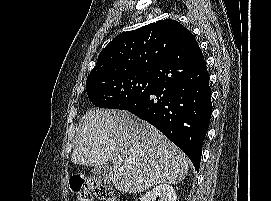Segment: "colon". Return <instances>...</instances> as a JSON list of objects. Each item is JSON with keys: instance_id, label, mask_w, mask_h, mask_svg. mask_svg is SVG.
Segmentation results:
<instances>
[{"instance_id": "1", "label": "colon", "mask_w": 271, "mask_h": 201, "mask_svg": "<svg viewBox=\"0 0 271 201\" xmlns=\"http://www.w3.org/2000/svg\"><path fill=\"white\" fill-rule=\"evenodd\" d=\"M70 188L79 201H119L111 186L88 177H77L70 182Z\"/></svg>"}]
</instances>
